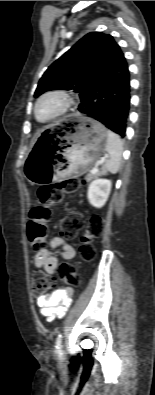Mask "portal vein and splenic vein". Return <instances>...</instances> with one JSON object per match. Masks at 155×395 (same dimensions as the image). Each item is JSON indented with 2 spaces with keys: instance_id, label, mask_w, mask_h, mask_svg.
<instances>
[{
  "instance_id": "obj_1",
  "label": "portal vein and splenic vein",
  "mask_w": 155,
  "mask_h": 395,
  "mask_svg": "<svg viewBox=\"0 0 155 395\" xmlns=\"http://www.w3.org/2000/svg\"><path fill=\"white\" fill-rule=\"evenodd\" d=\"M105 160H106V157H102V158L99 160L97 166H95V167L91 170V173H96V172L98 171V167H99L100 165H102V164L104 163Z\"/></svg>"
}]
</instances>
